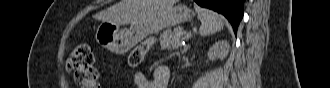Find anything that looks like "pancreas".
Instances as JSON below:
<instances>
[{
  "mask_svg": "<svg viewBox=\"0 0 330 88\" xmlns=\"http://www.w3.org/2000/svg\"><path fill=\"white\" fill-rule=\"evenodd\" d=\"M185 31L183 28L163 31L159 41L161 49H177L182 46L181 42L185 40Z\"/></svg>",
  "mask_w": 330,
  "mask_h": 88,
  "instance_id": "1",
  "label": "pancreas"
}]
</instances>
